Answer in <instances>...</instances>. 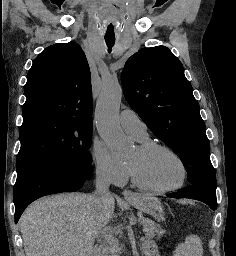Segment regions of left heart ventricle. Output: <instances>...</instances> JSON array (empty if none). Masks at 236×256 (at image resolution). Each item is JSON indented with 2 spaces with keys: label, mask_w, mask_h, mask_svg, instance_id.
I'll return each mask as SVG.
<instances>
[{
  "label": "left heart ventricle",
  "mask_w": 236,
  "mask_h": 256,
  "mask_svg": "<svg viewBox=\"0 0 236 256\" xmlns=\"http://www.w3.org/2000/svg\"><path fill=\"white\" fill-rule=\"evenodd\" d=\"M127 163L134 166L141 178L154 187L175 185L182 177V167L179 161L165 151L141 155L136 148L128 157Z\"/></svg>",
  "instance_id": "1"
}]
</instances>
